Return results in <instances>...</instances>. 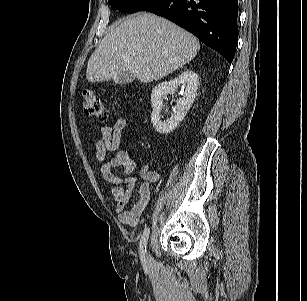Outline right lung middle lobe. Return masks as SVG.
<instances>
[{
  "label": "right lung middle lobe",
  "mask_w": 307,
  "mask_h": 301,
  "mask_svg": "<svg viewBox=\"0 0 307 301\" xmlns=\"http://www.w3.org/2000/svg\"><path fill=\"white\" fill-rule=\"evenodd\" d=\"M155 0H108L112 9L127 13L141 11L145 6L151 4Z\"/></svg>",
  "instance_id": "1"
}]
</instances>
